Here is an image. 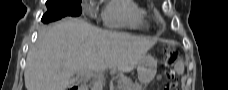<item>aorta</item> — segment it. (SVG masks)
<instances>
[{"instance_id":"obj_1","label":"aorta","mask_w":228,"mask_h":90,"mask_svg":"<svg viewBox=\"0 0 228 90\" xmlns=\"http://www.w3.org/2000/svg\"><path fill=\"white\" fill-rule=\"evenodd\" d=\"M102 89H103V85L101 82H97L93 87V90H102Z\"/></svg>"}]
</instances>
